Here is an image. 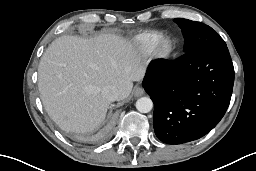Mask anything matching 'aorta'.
Segmentation results:
<instances>
[{
	"instance_id": "obj_1",
	"label": "aorta",
	"mask_w": 256,
	"mask_h": 171,
	"mask_svg": "<svg viewBox=\"0 0 256 171\" xmlns=\"http://www.w3.org/2000/svg\"><path fill=\"white\" fill-rule=\"evenodd\" d=\"M153 108V102L149 97H141L136 102V109L141 113H148Z\"/></svg>"
}]
</instances>
